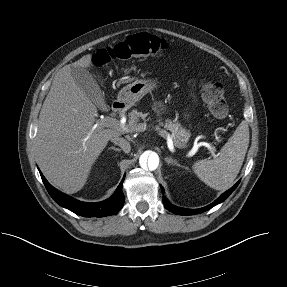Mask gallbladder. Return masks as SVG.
<instances>
[{"label":"gallbladder","mask_w":287,"mask_h":287,"mask_svg":"<svg viewBox=\"0 0 287 287\" xmlns=\"http://www.w3.org/2000/svg\"><path fill=\"white\" fill-rule=\"evenodd\" d=\"M71 75L84 95L100 109L107 108L104 94L94 75L83 67H71Z\"/></svg>","instance_id":"obj_1"}]
</instances>
